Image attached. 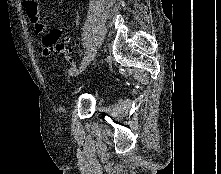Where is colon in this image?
I'll return each mask as SVG.
<instances>
[{
  "mask_svg": "<svg viewBox=\"0 0 221 174\" xmlns=\"http://www.w3.org/2000/svg\"><path fill=\"white\" fill-rule=\"evenodd\" d=\"M61 37V32L57 29L52 30L49 34V39L51 41L55 42V52L63 55L65 58H67L70 62H72V59L69 56V50L65 43L63 41L58 42Z\"/></svg>",
  "mask_w": 221,
  "mask_h": 174,
  "instance_id": "obj_1",
  "label": "colon"
}]
</instances>
